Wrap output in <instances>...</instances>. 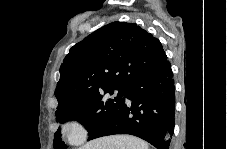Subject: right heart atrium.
Returning <instances> with one entry per match:
<instances>
[{
	"instance_id": "d8ad5b80",
	"label": "right heart atrium",
	"mask_w": 227,
	"mask_h": 149,
	"mask_svg": "<svg viewBox=\"0 0 227 149\" xmlns=\"http://www.w3.org/2000/svg\"><path fill=\"white\" fill-rule=\"evenodd\" d=\"M67 131L71 139L79 141L83 137L82 127L75 121H72L67 126Z\"/></svg>"
}]
</instances>
